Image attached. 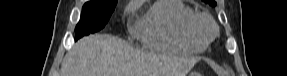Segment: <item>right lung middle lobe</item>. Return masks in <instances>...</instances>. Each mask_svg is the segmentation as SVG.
Segmentation results:
<instances>
[{
    "label": "right lung middle lobe",
    "instance_id": "right-lung-middle-lobe-1",
    "mask_svg": "<svg viewBox=\"0 0 287 76\" xmlns=\"http://www.w3.org/2000/svg\"><path fill=\"white\" fill-rule=\"evenodd\" d=\"M116 3L117 0L85 3L82 8L80 21L75 28L76 38L79 39L104 28L115 9Z\"/></svg>",
    "mask_w": 287,
    "mask_h": 76
}]
</instances>
